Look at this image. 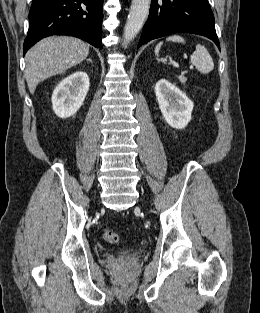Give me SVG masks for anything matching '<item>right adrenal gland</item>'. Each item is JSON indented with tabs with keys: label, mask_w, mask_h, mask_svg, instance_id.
Masks as SVG:
<instances>
[{
	"label": "right adrenal gland",
	"mask_w": 260,
	"mask_h": 313,
	"mask_svg": "<svg viewBox=\"0 0 260 313\" xmlns=\"http://www.w3.org/2000/svg\"><path fill=\"white\" fill-rule=\"evenodd\" d=\"M87 61H89V62L93 63L91 58L87 59Z\"/></svg>",
	"instance_id": "1"
}]
</instances>
